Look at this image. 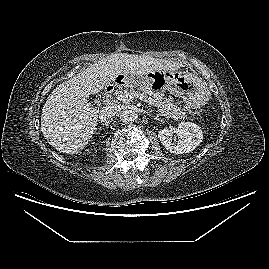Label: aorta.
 <instances>
[{
    "label": "aorta",
    "instance_id": "762f6f07",
    "mask_svg": "<svg viewBox=\"0 0 269 269\" xmlns=\"http://www.w3.org/2000/svg\"><path fill=\"white\" fill-rule=\"evenodd\" d=\"M139 114L135 108L127 109L122 114V120L125 123H131L138 120Z\"/></svg>",
    "mask_w": 269,
    "mask_h": 269
}]
</instances>
